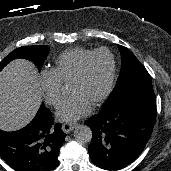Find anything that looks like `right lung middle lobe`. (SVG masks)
<instances>
[{"mask_svg": "<svg viewBox=\"0 0 171 171\" xmlns=\"http://www.w3.org/2000/svg\"><path fill=\"white\" fill-rule=\"evenodd\" d=\"M49 47L45 45L23 46L8 54L0 63V70L4 68L10 61L16 58H26L32 60L37 66L41 67L44 63Z\"/></svg>", "mask_w": 171, "mask_h": 171, "instance_id": "obj_1", "label": "right lung middle lobe"}]
</instances>
